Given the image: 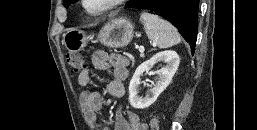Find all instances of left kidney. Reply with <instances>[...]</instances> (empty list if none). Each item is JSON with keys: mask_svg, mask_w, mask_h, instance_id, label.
<instances>
[{"mask_svg": "<svg viewBox=\"0 0 257 130\" xmlns=\"http://www.w3.org/2000/svg\"><path fill=\"white\" fill-rule=\"evenodd\" d=\"M164 62L166 66L161 68L157 74L158 81L145 97H139V85L141 83V75L143 72L149 71L156 63ZM180 58L175 51L166 50L154 55L150 60L143 62L137 67L129 84V102L136 109H144L153 104L158 96L170 84L176 70L179 66Z\"/></svg>", "mask_w": 257, "mask_h": 130, "instance_id": "5707ae66", "label": "left kidney"}]
</instances>
